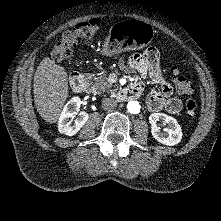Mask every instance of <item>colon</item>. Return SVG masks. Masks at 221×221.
I'll use <instances>...</instances> for the list:
<instances>
[{
    "label": "colon",
    "mask_w": 221,
    "mask_h": 221,
    "mask_svg": "<svg viewBox=\"0 0 221 221\" xmlns=\"http://www.w3.org/2000/svg\"><path fill=\"white\" fill-rule=\"evenodd\" d=\"M100 26L101 21L98 18L87 19L76 24L72 30L66 31L54 46L50 55L51 59L55 62H61L70 58L78 42L96 36L100 30ZM146 54L153 62L159 59V53L154 48L148 49ZM172 75L178 91L186 95V115L192 118L196 114L198 106L197 100L193 96V85L176 68L172 70Z\"/></svg>",
    "instance_id": "1"
}]
</instances>
